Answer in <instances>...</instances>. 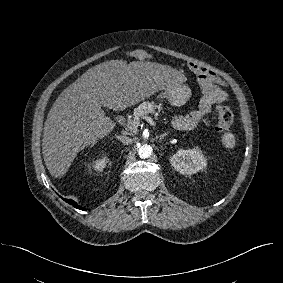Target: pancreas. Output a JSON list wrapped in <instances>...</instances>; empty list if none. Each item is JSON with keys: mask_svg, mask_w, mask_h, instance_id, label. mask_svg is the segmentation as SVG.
<instances>
[{"mask_svg": "<svg viewBox=\"0 0 283 283\" xmlns=\"http://www.w3.org/2000/svg\"><path fill=\"white\" fill-rule=\"evenodd\" d=\"M163 107L161 104L151 103V102H143L137 108L134 109L133 119L130 120L132 123L136 125L130 129L132 132H136L137 127L140 125L141 119H143L147 114L152 113L155 115V118L158 117V112L162 111ZM158 110V112L156 111Z\"/></svg>", "mask_w": 283, "mask_h": 283, "instance_id": "1", "label": "pancreas"}]
</instances>
